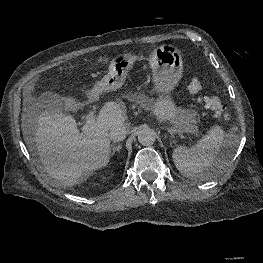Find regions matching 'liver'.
I'll return each mask as SVG.
<instances>
[{"label":"liver","mask_w":263,"mask_h":263,"mask_svg":"<svg viewBox=\"0 0 263 263\" xmlns=\"http://www.w3.org/2000/svg\"><path fill=\"white\" fill-rule=\"evenodd\" d=\"M101 92V88L85 91L92 101L98 100ZM63 102L68 112L81 106L72 97H64ZM126 118L124 105L107 102L100 109L94 128L81 132L72 115L41 112L39 104L26 94L21 121L24 134L30 128L34 130L35 147L44 171L56 185L72 187L108 164L109 131L114 126H124Z\"/></svg>","instance_id":"6515ba94"}]
</instances>
